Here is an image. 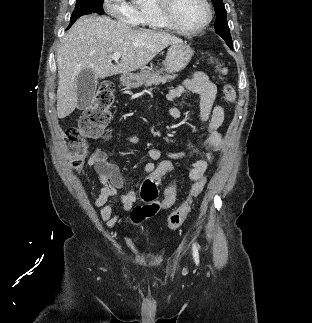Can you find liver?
Instances as JSON below:
<instances>
[{"mask_svg":"<svg viewBox=\"0 0 312 323\" xmlns=\"http://www.w3.org/2000/svg\"><path fill=\"white\" fill-rule=\"evenodd\" d=\"M179 42L182 40L172 34L139 30L108 16H82L63 36L57 52V118H66L77 108V76L82 70L91 68L95 78L128 74L144 68L161 50ZM114 52L122 54L115 66L111 60Z\"/></svg>","mask_w":312,"mask_h":323,"instance_id":"6515ba94","label":"liver"}]
</instances>
